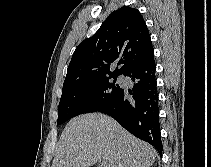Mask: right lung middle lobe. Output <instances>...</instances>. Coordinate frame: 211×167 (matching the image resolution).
I'll use <instances>...</instances> for the list:
<instances>
[{
    "mask_svg": "<svg viewBox=\"0 0 211 167\" xmlns=\"http://www.w3.org/2000/svg\"><path fill=\"white\" fill-rule=\"evenodd\" d=\"M117 76L97 77L63 86L57 124L108 105L122 90L116 83Z\"/></svg>",
    "mask_w": 211,
    "mask_h": 167,
    "instance_id": "right-lung-middle-lobe-1",
    "label": "right lung middle lobe"
}]
</instances>
